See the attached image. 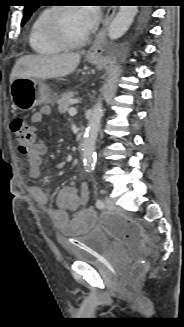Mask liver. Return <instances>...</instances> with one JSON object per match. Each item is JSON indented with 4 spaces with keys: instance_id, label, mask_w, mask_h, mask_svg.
<instances>
[{
    "instance_id": "obj_1",
    "label": "liver",
    "mask_w": 184,
    "mask_h": 327,
    "mask_svg": "<svg viewBox=\"0 0 184 327\" xmlns=\"http://www.w3.org/2000/svg\"><path fill=\"white\" fill-rule=\"evenodd\" d=\"M80 58V53L23 56L16 61L10 75V82L18 77L51 79L67 76L76 70Z\"/></svg>"
}]
</instances>
